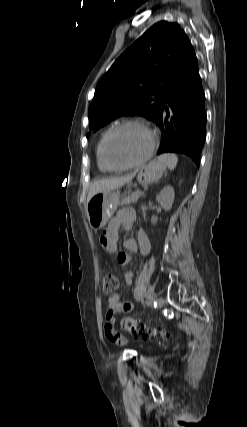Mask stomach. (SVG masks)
Here are the masks:
<instances>
[{"mask_svg":"<svg viewBox=\"0 0 247 427\" xmlns=\"http://www.w3.org/2000/svg\"><path fill=\"white\" fill-rule=\"evenodd\" d=\"M166 166L158 161H152L142 168L137 176L139 183L147 185L158 181ZM120 191L106 190L95 194L86 206L87 218L90 226L95 229L103 228L116 211L120 201Z\"/></svg>","mask_w":247,"mask_h":427,"instance_id":"obj_1","label":"stomach"}]
</instances>
